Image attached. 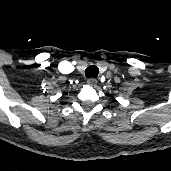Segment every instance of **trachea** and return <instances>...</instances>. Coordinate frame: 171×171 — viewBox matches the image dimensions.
I'll return each instance as SVG.
<instances>
[{
	"label": "trachea",
	"instance_id": "trachea-1",
	"mask_svg": "<svg viewBox=\"0 0 171 171\" xmlns=\"http://www.w3.org/2000/svg\"><path fill=\"white\" fill-rule=\"evenodd\" d=\"M98 73H99V69H98V67H96L94 65H91V66L87 67L86 70H85V75L88 78H91V77L92 78H97Z\"/></svg>",
	"mask_w": 171,
	"mask_h": 171
}]
</instances>
